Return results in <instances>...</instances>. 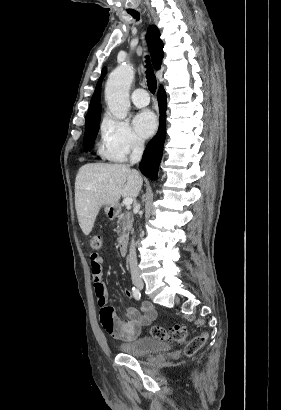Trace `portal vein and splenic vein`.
Listing matches in <instances>:
<instances>
[{
	"label": "portal vein and splenic vein",
	"instance_id": "1",
	"mask_svg": "<svg viewBox=\"0 0 281 410\" xmlns=\"http://www.w3.org/2000/svg\"><path fill=\"white\" fill-rule=\"evenodd\" d=\"M132 202H133V199H132V198H124V200H123V204H124L127 208H130Z\"/></svg>",
	"mask_w": 281,
	"mask_h": 410
}]
</instances>
